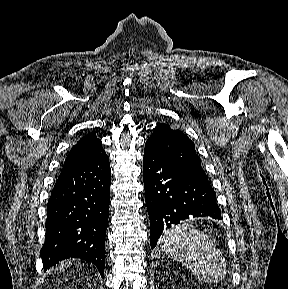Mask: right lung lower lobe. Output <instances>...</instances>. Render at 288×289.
Here are the masks:
<instances>
[{
    "label": "right lung lower lobe",
    "instance_id": "1",
    "mask_svg": "<svg viewBox=\"0 0 288 289\" xmlns=\"http://www.w3.org/2000/svg\"><path fill=\"white\" fill-rule=\"evenodd\" d=\"M111 172L105 152L64 164L47 205L46 239L40 255L47 270L74 257L105 267Z\"/></svg>",
    "mask_w": 288,
    "mask_h": 289
}]
</instances>
